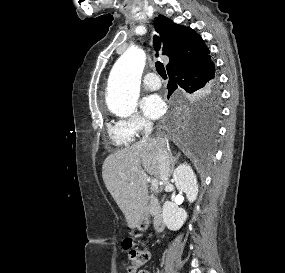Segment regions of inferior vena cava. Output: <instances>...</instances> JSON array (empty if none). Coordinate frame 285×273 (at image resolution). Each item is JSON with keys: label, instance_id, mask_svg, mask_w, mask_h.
Listing matches in <instances>:
<instances>
[{"label": "inferior vena cava", "instance_id": "1", "mask_svg": "<svg viewBox=\"0 0 285 273\" xmlns=\"http://www.w3.org/2000/svg\"><path fill=\"white\" fill-rule=\"evenodd\" d=\"M153 130V125L150 121L144 122V135L141 139L142 142H154L157 143L158 146V152H157V160L160 170V179L164 184L168 183L169 177H170V171H171V159L170 155L167 152L166 146L163 144L162 139L156 138L152 139L150 138V134Z\"/></svg>", "mask_w": 285, "mask_h": 273}]
</instances>
